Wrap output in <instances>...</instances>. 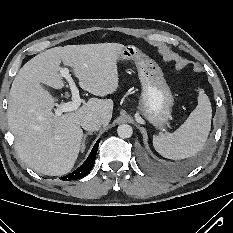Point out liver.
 <instances>
[{
	"label": "liver",
	"instance_id": "1",
	"mask_svg": "<svg viewBox=\"0 0 233 233\" xmlns=\"http://www.w3.org/2000/svg\"><path fill=\"white\" fill-rule=\"evenodd\" d=\"M124 48L119 43L67 45L48 49L19 70L11 86L8 126L21 160L36 172L62 176L71 171L83 138L81 120L88 114L108 125L113 112L111 99L90 98L79 109L53 114V96L41 84L64 86L60 63L72 68L80 87L96 96L118 88L117 59Z\"/></svg>",
	"mask_w": 233,
	"mask_h": 233
}]
</instances>
